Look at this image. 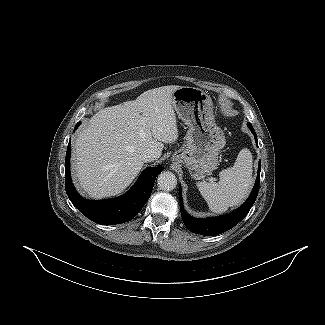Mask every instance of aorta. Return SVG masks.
Listing matches in <instances>:
<instances>
[{
	"instance_id": "aorta-1",
	"label": "aorta",
	"mask_w": 325,
	"mask_h": 325,
	"mask_svg": "<svg viewBox=\"0 0 325 325\" xmlns=\"http://www.w3.org/2000/svg\"><path fill=\"white\" fill-rule=\"evenodd\" d=\"M159 189L163 191H171L177 185L176 176L170 171H164L159 174L157 179Z\"/></svg>"
}]
</instances>
